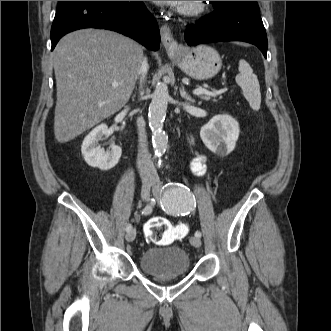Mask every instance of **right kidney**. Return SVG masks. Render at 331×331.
Instances as JSON below:
<instances>
[{"mask_svg":"<svg viewBox=\"0 0 331 331\" xmlns=\"http://www.w3.org/2000/svg\"><path fill=\"white\" fill-rule=\"evenodd\" d=\"M108 134V126L100 124L95 127L83 140L81 151L87 164L100 170H110L116 166L122 154L119 146L113 145L105 151L99 141Z\"/></svg>","mask_w":331,"mask_h":331,"instance_id":"right-kidney-1","label":"right kidney"}]
</instances>
